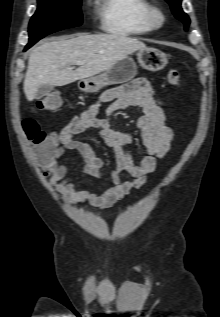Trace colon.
Listing matches in <instances>:
<instances>
[{
  "label": "colon",
  "instance_id": "5ec220e1",
  "mask_svg": "<svg viewBox=\"0 0 220 317\" xmlns=\"http://www.w3.org/2000/svg\"><path fill=\"white\" fill-rule=\"evenodd\" d=\"M168 82L171 85L181 84L180 73L176 69H170L167 73ZM61 106V97L55 92L42 96L35 109L40 111H54ZM24 134L33 147V152L43 166H50L58 153V145L55 139L43 131L38 122L31 117L22 121Z\"/></svg>",
  "mask_w": 220,
  "mask_h": 317
}]
</instances>
